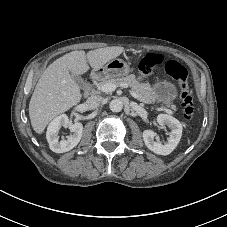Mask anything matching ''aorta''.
Returning a JSON list of instances; mask_svg holds the SVG:
<instances>
[{"mask_svg":"<svg viewBox=\"0 0 227 227\" xmlns=\"http://www.w3.org/2000/svg\"><path fill=\"white\" fill-rule=\"evenodd\" d=\"M109 108L112 112H120L123 108V103L120 99H114L110 102Z\"/></svg>","mask_w":227,"mask_h":227,"instance_id":"1","label":"aorta"}]
</instances>
